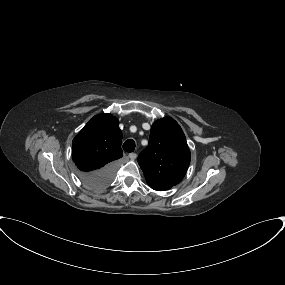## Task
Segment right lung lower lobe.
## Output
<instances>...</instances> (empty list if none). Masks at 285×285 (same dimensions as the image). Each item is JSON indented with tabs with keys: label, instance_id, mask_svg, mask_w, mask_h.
I'll return each mask as SVG.
<instances>
[{
	"label": "right lung lower lobe",
	"instance_id": "1",
	"mask_svg": "<svg viewBox=\"0 0 285 285\" xmlns=\"http://www.w3.org/2000/svg\"><path fill=\"white\" fill-rule=\"evenodd\" d=\"M117 162H112L103 168L89 173H81L83 183L93 190H101L107 187L113 180Z\"/></svg>",
	"mask_w": 285,
	"mask_h": 285
}]
</instances>
